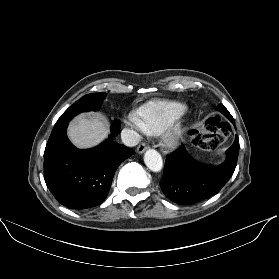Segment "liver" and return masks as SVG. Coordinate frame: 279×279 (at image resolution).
Instances as JSON below:
<instances>
[{"instance_id": "1", "label": "liver", "mask_w": 279, "mask_h": 279, "mask_svg": "<svg viewBox=\"0 0 279 279\" xmlns=\"http://www.w3.org/2000/svg\"><path fill=\"white\" fill-rule=\"evenodd\" d=\"M109 134L105 121L97 117L81 116L68 127V136L79 148H91L101 143Z\"/></svg>"}]
</instances>
